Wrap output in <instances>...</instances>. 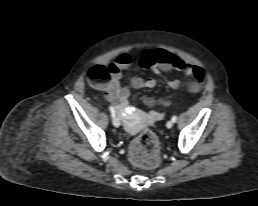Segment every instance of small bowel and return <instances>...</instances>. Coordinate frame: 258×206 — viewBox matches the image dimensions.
Here are the masks:
<instances>
[{"label": "small bowel", "instance_id": "obj_1", "mask_svg": "<svg viewBox=\"0 0 258 206\" xmlns=\"http://www.w3.org/2000/svg\"><path fill=\"white\" fill-rule=\"evenodd\" d=\"M134 63V59L128 54L119 55L113 63L108 66L109 80L100 88L105 92L107 98L112 101L116 108L121 112H126V106L129 98V90L122 86L121 80L123 72L128 70ZM138 64L143 68H149L156 73L169 72L176 70L188 76H193L187 88L190 92H198L204 82V70L200 66L182 60L178 56L169 53L163 49L147 50L139 59ZM168 86L171 89H178L180 81L178 79H167ZM157 80L154 78L144 79L141 77L131 78V85L134 88H153L156 86ZM163 114L151 111L148 119L151 121L160 120ZM126 126L133 127L131 119H126Z\"/></svg>", "mask_w": 258, "mask_h": 206}]
</instances>
